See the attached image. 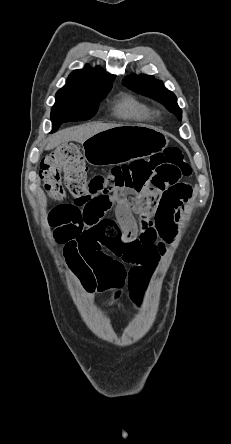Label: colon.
<instances>
[{
  "label": "colon",
  "mask_w": 231,
  "mask_h": 444,
  "mask_svg": "<svg viewBox=\"0 0 231 444\" xmlns=\"http://www.w3.org/2000/svg\"><path fill=\"white\" fill-rule=\"evenodd\" d=\"M191 173L190 163L178 148H167L149 159L105 170L99 174L103 183L96 189L90 187L92 178L88 177L85 160L74 144H65L54 150L43 159L40 167L45 190L58 200L65 196L64 187L75 200L85 199L92 194L109 197L122 189L145 190L152 183L179 186V181ZM68 220L62 205L50 211L49 222L52 227L64 225ZM64 254L71 269L80 265L81 259L76 252L69 250L64 251Z\"/></svg>",
  "instance_id": "1"
}]
</instances>
